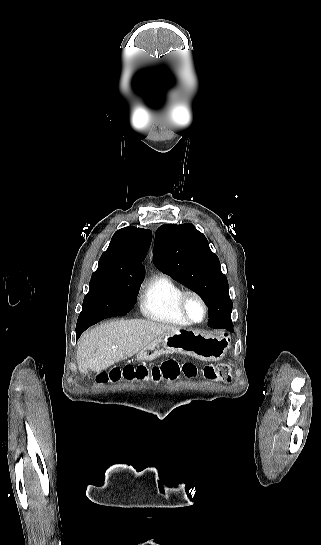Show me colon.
I'll list each match as a JSON object with an SVG mask.
<instances>
[{
	"mask_svg": "<svg viewBox=\"0 0 321 545\" xmlns=\"http://www.w3.org/2000/svg\"><path fill=\"white\" fill-rule=\"evenodd\" d=\"M198 372V367L190 361L179 362L175 359H169L156 366H126L123 368H113L102 372L97 377V382L108 383L118 382L122 379L128 381H146L160 382L161 380L174 381L184 375L192 378ZM203 376L213 382H229L231 379V366L228 363L208 364L202 367Z\"/></svg>",
	"mask_w": 321,
	"mask_h": 545,
	"instance_id": "obj_1",
	"label": "colon"
}]
</instances>
